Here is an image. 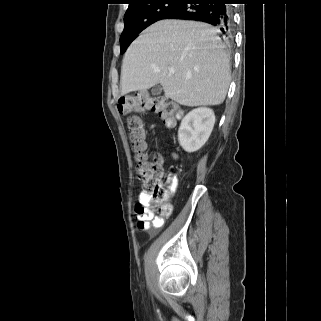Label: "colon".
Masks as SVG:
<instances>
[{
  "label": "colon",
  "mask_w": 321,
  "mask_h": 321,
  "mask_svg": "<svg viewBox=\"0 0 321 321\" xmlns=\"http://www.w3.org/2000/svg\"><path fill=\"white\" fill-rule=\"evenodd\" d=\"M119 111L129 115L128 125L130 130V139L135 152L136 175L142 181L145 191L153 197L151 208L135 205L138 213L143 214L154 211L162 218H168L172 207L164 202L166 192L160 184L162 176V163L155 156L149 158L145 152L144 129L141 120L132 115L134 112L152 110L159 114L165 124L169 127L174 126L179 117L178 106L164 97H150L147 94L139 93L136 95L125 96L119 100Z\"/></svg>",
  "instance_id": "obj_1"
}]
</instances>
